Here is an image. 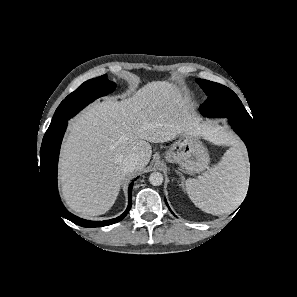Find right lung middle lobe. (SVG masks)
I'll use <instances>...</instances> for the list:
<instances>
[{"mask_svg":"<svg viewBox=\"0 0 297 297\" xmlns=\"http://www.w3.org/2000/svg\"><path fill=\"white\" fill-rule=\"evenodd\" d=\"M115 87L106 74L84 82L58 106L47 132L56 130L89 103L112 92Z\"/></svg>","mask_w":297,"mask_h":297,"instance_id":"obj_1","label":"right lung middle lobe"}]
</instances>
